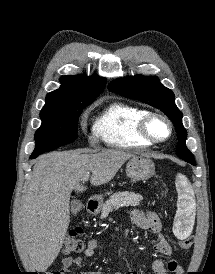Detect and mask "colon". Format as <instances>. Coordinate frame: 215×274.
Masks as SVG:
<instances>
[{"mask_svg":"<svg viewBox=\"0 0 215 274\" xmlns=\"http://www.w3.org/2000/svg\"><path fill=\"white\" fill-rule=\"evenodd\" d=\"M80 230L79 229H71L65 239L62 252L65 255H69L72 253H78L82 251L83 249V242L79 238L80 235ZM180 247L184 250H188L191 247V241L190 240H182L180 241ZM50 274H64V271L58 270L55 272H52Z\"/></svg>","mask_w":215,"mask_h":274,"instance_id":"1","label":"colon"}]
</instances>
